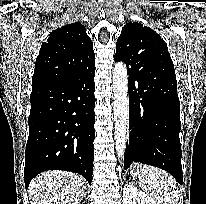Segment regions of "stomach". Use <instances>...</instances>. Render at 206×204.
I'll return each mask as SVG.
<instances>
[{"instance_id":"obj_1","label":"stomach","mask_w":206,"mask_h":204,"mask_svg":"<svg viewBox=\"0 0 206 204\" xmlns=\"http://www.w3.org/2000/svg\"><path fill=\"white\" fill-rule=\"evenodd\" d=\"M142 165H139V164H137V165H134L133 166V168H132V170H131V174L134 176V177H140V175H141V170H142Z\"/></svg>"}]
</instances>
